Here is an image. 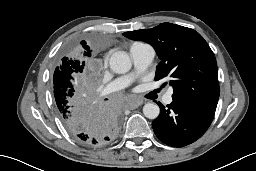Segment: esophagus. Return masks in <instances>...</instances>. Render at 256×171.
Returning a JSON list of instances; mask_svg holds the SVG:
<instances>
[{"instance_id":"esophagus-1","label":"esophagus","mask_w":256,"mask_h":171,"mask_svg":"<svg viewBox=\"0 0 256 171\" xmlns=\"http://www.w3.org/2000/svg\"><path fill=\"white\" fill-rule=\"evenodd\" d=\"M142 104H143V100H140V99L131 100L127 103V108L133 110L138 108Z\"/></svg>"}]
</instances>
